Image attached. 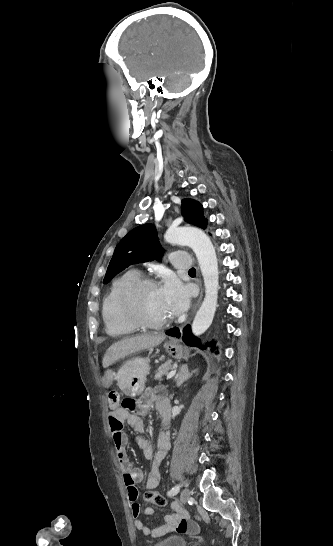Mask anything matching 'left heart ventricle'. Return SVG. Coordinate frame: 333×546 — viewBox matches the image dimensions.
<instances>
[{
    "label": "left heart ventricle",
    "mask_w": 333,
    "mask_h": 546,
    "mask_svg": "<svg viewBox=\"0 0 333 546\" xmlns=\"http://www.w3.org/2000/svg\"><path fill=\"white\" fill-rule=\"evenodd\" d=\"M140 310L143 316L150 321L158 322L170 317L159 287L148 288L142 293Z\"/></svg>",
    "instance_id": "1"
}]
</instances>
